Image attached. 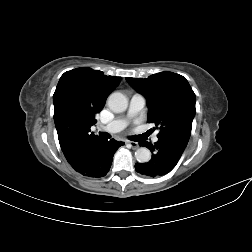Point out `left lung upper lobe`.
Wrapping results in <instances>:
<instances>
[{
  "mask_svg": "<svg viewBox=\"0 0 252 252\" xmlns=\"http://www.w3.org/2000/svg\"><path fill=\"white\" fill-rule=\"evenodd\" d=\"M147 100V121L159 128L158 138L188 143L196 113L195 93L186 78L172 72L153 74L146 79L126 78Z\"/></svg>",
  "mask_w": 252,
  "mask_h": 252,
  "instance_id": "1",
  "label": "left lung upper lobe"
}]
</instances>
